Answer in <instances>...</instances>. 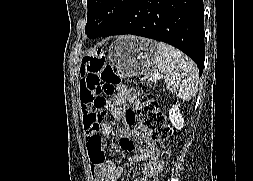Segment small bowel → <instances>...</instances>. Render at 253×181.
<instances>
[{
  "mask_svg": "<svg viewBox=\"0 0 253 181\" xmlns=\"http://www.w3.org/2000/svg\"><path fill=\"white\" fill-rule=\"evenodd\" d=\"M86 73L81 69V81H80V97H81V111L85 118L88 113V105L85 102V95L87 93V87L85 83ZM129 103L134 107L139 106L137 100V94L132 89H126L120 87L117 94L110 99L108 107L111 111V120L101 123L100 125H93V130H101V134L109 135L112 132L114 123H121V127L118 130V136L121 140V148L124 151L130 152L136 146L139 151L130 156L129 161L131 163H140V171L143 175H147L157 164L161 156V150L156 143L148 136V134L140 130L137 133L135 139L132 138L129 125L135 121V113L132 110H123L120 105ZM85 124V123H84ZM86 127V126H85ZM87 146L90 153L91 170L95 175L96 181H120L123 168L114 164L112 161L105 158V144L103 138L100 140L94 138V134L86 128ZM95 155V157H93ZM133 181H144L143 178L135 177Z\"/></svg>",
  "mask_w": 253,
  "mask_h": 181,
  "instance_id": "obj_1",
  "label": "small bowel"
}]
</instances>
